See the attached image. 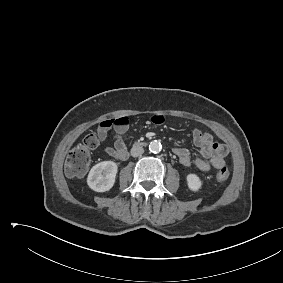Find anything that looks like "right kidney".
<instances>
[{
  "label": "right kidney",
  "mask_w": 283,
  "mask_h": 283,
  "mask_svg": "<svg viewBox=\"0 0 283 283\" xmlns=\"http://www.w3.org/2000/svg\"><path fill=\"white\" fill-rule=\"evenodd\" d=\"M117 170V164L113 161H103L94 165L88 174V186L96 192L109 191L115 183Z\"/></svg>",
  "instance_id": "ca27d5eb"
}]
</instances>
